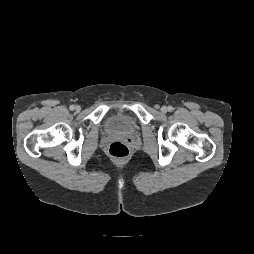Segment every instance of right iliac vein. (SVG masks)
Listing matches in <instances>:
<instances>
[{
    "label": "right iliac vein",
    "instance_id": "right-iliac-vein-1",
    "mask_svg": "<svg viewBox=\"0 0 254 254\" xmlns=\"http://www.w3.org/2000/svg\"><path fill=\"white\" fill-rule=\"evenodd\" d=\"M75 110H76L77 112H79V111L81 110V107L77 105V106L75 107Z\"/></svg>",
    "mask_w": 254,
    "mask_h": 254
}]
</instances>
